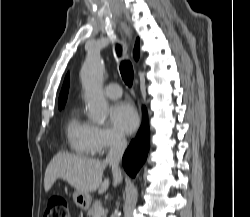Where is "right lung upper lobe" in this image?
Instances as JSON below:
<instances>
[{
	"label": "right lung upper lobe",
	"instance_id": "obj_1",
	"mask_svg": "<svg viewBox=\"0 0 250 217\" xmlns=\"http://www.w3.org/2000/svg\"><path fill=\"white\" fill-rule=\"evenodd\" d=\"M140 56V51H139V39H137L135 47H134V58L135 60H138ZM68 90H69V74L66 75L63 87L59 96L58 100V107L59 109L63 108L66 100H67V95H68Z\"/></svg>",
	"mask_w": 250,
	"mask_h": 217
}]
</instances>
